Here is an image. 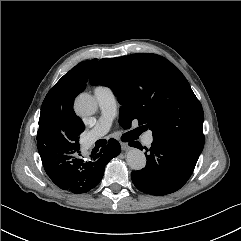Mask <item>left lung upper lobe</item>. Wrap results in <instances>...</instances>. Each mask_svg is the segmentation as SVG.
Returning a JSON list of instances; mask_svg holds the SVG:
<instances>
[{"label":"left lung upper lobe","mask_w":241,"mask_h":241,"mask_svg":"<svg viewBox=\"0 0 241 241\" xmlns=\"http://www.w3.org/2000/svg\"><path fill=\"white\" fill-rule=\"evenodd\" d=\"M90 83L113 90L122 105V126L138 119L141 127L152 130L153 138L203 150L202 106L181 71L165 58L156 54L104 58Z\"/></svg>","instance_id":"obj_1"}]
</instances>
